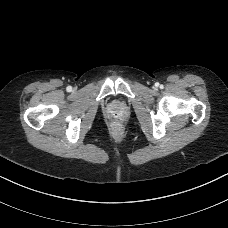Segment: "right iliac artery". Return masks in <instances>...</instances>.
<instances>
[{"instance_id": "obj_1", "label": "right iliac artery", "mask_w": 228, "mask_h": 228, "mask_svg": "<svg viewBox=\"0 0 228 228\" xmlns=\"http://www.w3.org/2000/svg\"><path fill=\"white\" fill-rule=\"evenodd\" d=\"M66 90H67L68 92H71V91H72V87H71V86H68V87L66 88Z\"/></svg>"}]
</instances>
